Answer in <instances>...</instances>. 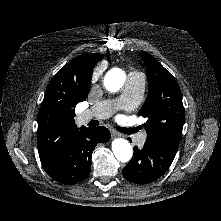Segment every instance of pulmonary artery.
I'll return each mask as SVG.
<instances>
[{
    "mask_svg": "<svg viewBox=\"0 0 221 221\" xmlns=\"http://www.w3.org/2000/svg\"><path fill=\"white\" fill-rule=\"evenodd\" d=\"M145 77L139 72H131L128 75L123 94L114 102L97 103L91 109L84 111L78 117L80 123L91 119H104L110 116L117 107H133L139 104L144 93ZM145 134L142 133L137 139L139 145L143 144Z\"/></svg>",
    "mask_w": 221,
    "mask_h": 221,
    "instance_id": "1",
    "label": "pulmonary artery"
}]
</instances>
